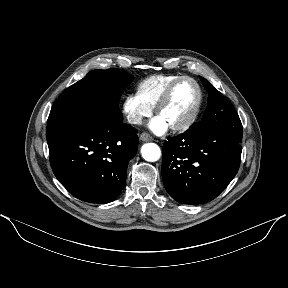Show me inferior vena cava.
I'll use <instances>...</instances> for the list:
<instances>
[{
	"instance_id": "inferior-vena-cava-1",
	"label": "inferior vena cava",
	"mask_w": 288,
	"mask_h": 288,
	"mask_svg": "<svg viewBox=\"0 0 288 288\" xmlns=\"http://www.w3.org/2000/svg\"><path fill=\"white\" fill-rule=\"evenodd\" d=\"M128 122L131 124H140L141 119L137 117H128Z\"/></svg>"
}]
</instances>
